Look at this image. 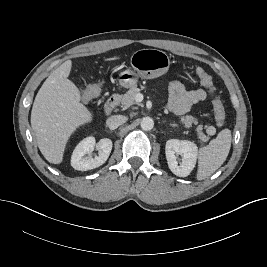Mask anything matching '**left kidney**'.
Instances as JSON below:
<instances>
[{
    "mask_svg": "<svg viewBox=\"0 0 267 267\" xmlns=\"http://www.w3.org/2000/svg\"><path fill=\"white\" fill-rule=\"evenodd\" d=\"M165 153L169 169L176 176L186 177L196 165L198 147L189 140L170 139L166 142Z\"/></svg>",
    "mask_w": 267,
    "mask_h": 267,
    "instance_id": "1",
    "label": "left kidney"
}]
</instances>
